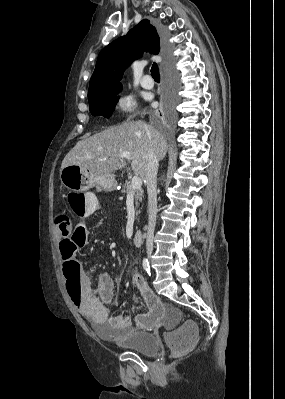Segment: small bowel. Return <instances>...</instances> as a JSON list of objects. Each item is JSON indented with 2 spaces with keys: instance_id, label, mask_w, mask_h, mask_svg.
I'll use <instances>...</instances> for the list:
<instances>
[{
  "instance_id": "c3829d8e",
  "label": "small bowel",
  "mask_w": 285,
  "mask_h": 399,
  "mask_svg": "<svg viewBox=\"0 0 285 399\" xmlns=\"http://www.w3.org/2000/svg\"><path fill=\"white\" fill-rule=\"evenodd\" d=\"M86 195L87 201L84 206L83 215L91 216L99 213L101 205L97 197L93 193H86ZM57 233L59 237L64 235V231L58 226ZM71 272L73 280L79 286L78 301L75 302L68 293L67 283L69 282V278L65 277L67 295L79 309L80 313L93 324L107 325L115 333L127 335L139 329L152 330L159 328L162 326L163 320L167 317L165 305L152 292L146 278L139 270H135L132 273V281L145 301L147 312L137 314L134 321H132L130 316H114L110 312L109 308L114 296L113 284L110 279L98 275L97 289L94 291L80 261L74 262Z\"/></svg>"
}]
</instances>
